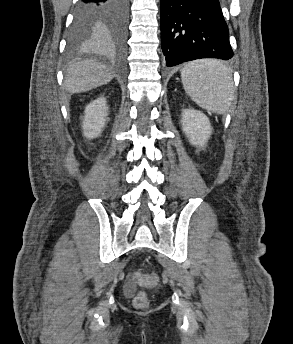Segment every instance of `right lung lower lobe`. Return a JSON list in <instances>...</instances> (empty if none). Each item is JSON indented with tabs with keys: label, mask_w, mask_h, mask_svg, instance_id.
I'll list each match as a JSON object with an SVG mask.
<instances>
[{
	"label": "right lung lower lobe",
	"mask_w": 293,
	"mask_h": 344,
	"mask_svg": "<svg viewBox=\"0 0 293 344\" xmlns=\"http://www.w3.org/2000/svg\"><path fill=\"white\" fill-rule=\"evenodd\" d=\"M78 10L96 20L93 45L106 50L123 49L127 34L128 0H80Z\"/></svg>",
	"instance_id": "98d812e1"
}]
</instances>
